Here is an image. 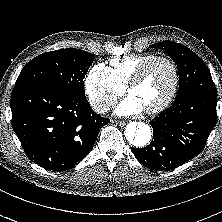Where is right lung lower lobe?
<instances>
[{"instance_id": "right-lung-lower-lobe-1", "label": "right lung lower lobe", "mask_w": 222, "mask_h": 222, "mask_svg": "<svg viewBox=\"0 0 222 222\" xmlns=\"http://www.w3.org/2000/svg\"><path fill=\"white\" fill-rule=\"evenodd\" d=\"M12 127L29 157L48 170L65 171L93 147L110 122L96 114L85 96L42 85L14 86Z\"/></svg>"}]
</instances>
